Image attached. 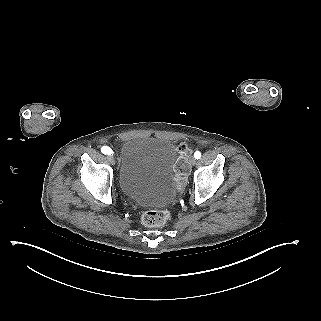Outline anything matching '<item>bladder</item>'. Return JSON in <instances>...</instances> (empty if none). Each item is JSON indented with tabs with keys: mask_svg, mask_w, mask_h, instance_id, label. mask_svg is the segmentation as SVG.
I'll return each mask as SVG.
<instances>
[{
	"mask_svg": "<svg viewBox=\"0 0 321 321\" xmlns=\"http://www.w3.org/2000/svg\"><path fill=\"white\" fill-rule=\"evenodd\" d=\"M178 157L171 141L151 137L127 139L118 156L121 191L140 205L169 203L178 191Z\"/></svg>",
	"mask_w": 321,
	"mask_h": 321,
	"instance_id": "obj_1",
	"label": "bladder"
}]
</instances>
